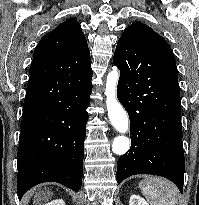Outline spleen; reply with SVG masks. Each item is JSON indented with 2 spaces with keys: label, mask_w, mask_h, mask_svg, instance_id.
I'll return each instance as SVG.
<instances>
[{
  "label": "spleen",
  "mask_w": 199,
  "mask_h": 205,
  "mask_svg": "<svg viewBox=\"0 0 199 205\" xmlns=\"http://www.w3.org/2000/svg\"><path fill=\"white\" fill-rule=\"evenodd\" d=\"M139 188L151 205H178L175 186L163 178L147 177Z\"/></svg>",
  "instance_id": "3e777b00"
}]
</instances>
